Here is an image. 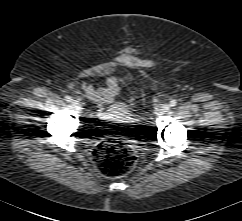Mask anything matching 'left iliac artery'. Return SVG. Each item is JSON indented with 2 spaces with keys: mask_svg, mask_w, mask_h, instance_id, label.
I'll list each match as a JSON object with an SVG mask.
<instances>
[{
  "mask_svg": "<svg viewBox=\"0 0 242 221\" xmlns=\"http://www.w3.org/2000/svg\"><path fill=\"white\" fill-rule=\"evenodd\" d=\"M176 104H177L176 100H171L169 103V106L174 107V106H176Z\"/></svg>",
  "mask_w": 242,
  "mask_h": 221,
  "instance_id": "44dca946",
  "label": "left iliac artery"
}]
</instances>
